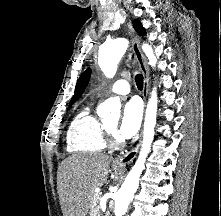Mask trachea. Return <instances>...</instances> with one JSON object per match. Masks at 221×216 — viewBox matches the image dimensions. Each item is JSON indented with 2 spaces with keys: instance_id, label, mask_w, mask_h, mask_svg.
I'll list each match as a JSON object with an SVG mask.
<instances>
[{
  "instance_id": "trachea-1",
  "label": "trachea",
  "mask_w": 221,
  "mask_h": 216,
  "mask_svg": "<svg viewBox=\"0 0 221 216\" xmlns=\"http://www.w3.org/2000/svg\"><path fill=\"white\" fill-rule=\"evenodd\" d=\"M135 82H136L137 88L142 90L143 89V75L142 74L136 75Z\"/></svg>"
}]
</instances>
